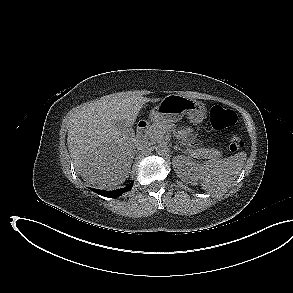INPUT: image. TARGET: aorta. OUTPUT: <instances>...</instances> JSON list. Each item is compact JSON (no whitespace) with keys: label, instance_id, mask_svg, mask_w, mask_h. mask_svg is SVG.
<instances>
[{"label":"aorta","instance_id":"762f6f07","mask_svg":"<svg viewBox=\"0 0 293 293\" xmlns=\"http://www.w3.org/2000/svg\"><path fill=\"white\" fill-rule=\"evenodd\" d=\"M158 155H166L168 152V147L165 144H158L155 148Z\"/></svg>","mask_w":293,"mask_h":293}]
</instances>
